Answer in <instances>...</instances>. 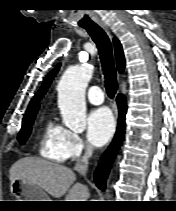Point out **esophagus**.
<instances>
[{"label":"esophagus","instance_id":"1","mask_svg":"<svg viewBox=\"0 0 176 211\" xmlns=\"http://www.w3.org/2000/svg\"><path fill=\"white\" fill-rule=\"evenodd\" d=\"M99 25L105 30V32L111 37L110 30L104 22H99Z\"/></svg>","mask_w":176,"mask_h":211}]
</instances>
